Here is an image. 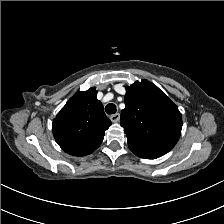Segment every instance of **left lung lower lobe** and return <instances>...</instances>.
<instances>
[{"label":"left lung lower lobe","instance_id":"obj_1","mask_svg":"<svg viewBox=\"0 0 224 224\" xmlns=\"http://www.w3.org/2000/svg\"><path fill=\"white\" fill-rule=\"evenodd\" d=\"M137 156L141 157V158H145V159H156V157H151V156H147V155H142V154H137L135 153Z\"/></svg>","mask_w":224,"mask_h":224}]
</instances>
